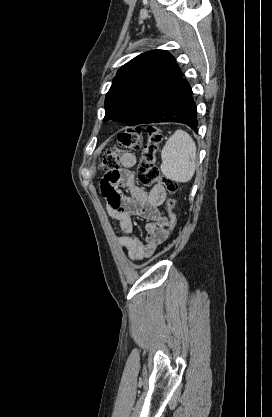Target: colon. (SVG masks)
Here are the masks:
<instances>
[{"instance_id": "colon-1", "label": "colon", "mask_w": 272, "mask_h": 417, "mask_svg": "<svg viewBox=\"0 0 272 417\" xmlns=\"http://www.w3.org/2000/svg\"><path fill=\"white\" fill-rule=\"evenodd\" d=\"M147 142L143 146L140 160L141 179L145 184L157 183L162 185L172 196L177 191V183L163 177L156 166L159 146L163 140L161 130L153 125L145 127ZM142 147V132L140 128L127 129L117 137V145L106 150L100 162V169L107 174L116 173L120 169L121 156L128 150H139ZM169 197L166 201L168 230L176 225L175 200Z\"/></svg>"}]
</instances>
